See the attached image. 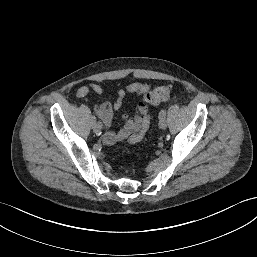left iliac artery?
Segmentation results:
<instances>
[{
    "label": "left iliac artery",
    "mask_w": 257,
    "mask_h": 257,
    "mask_svg": "<svg viewBox=\"0 0 257 257\" xmlns=\"http://www.w3.org/2000/svg\"><path fill=\"white\" fill-rule=\"evenodd\" d=\"M165 117H166V109H162L159 112V118L162 119V118H165Z\"/></svg>",
    "instance_id": "1"
}]
</instances>
